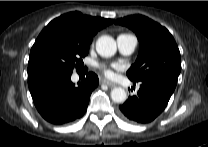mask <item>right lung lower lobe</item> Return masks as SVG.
Wrapping results in <instances>:
<instances>
[{
	"mask_svg": "<svg viewBox=\"0 0 208 147\" xmlns=\"http://www.w3.org/2000/svg\"><path fill=\"white\" fill-rule=\"evenodd\" d=\"M71 75L59 71L28 75L33 102L41 116L50 123L61 125L82 117L92 91L98 86V77L93 72L78 86L70 80Z\"/></svg>",
	"mask_w": 208,
	"mask_h": 147,
	"instance_id": "1",
	"label": "right lung lower lobe"
}]
</instances>
